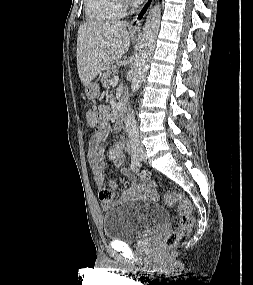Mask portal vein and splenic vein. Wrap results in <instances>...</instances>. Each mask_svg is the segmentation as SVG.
I'll use <instances>...</instances> for the list:
<instances>
[{
  "mask_svg": "<svg viewBox=\"0 0 253 285\" xmlns=\"http://www.w3.org/2000/svg\"><path fill=\"white\" fill-rule=\"evenodd\" d=\"M119 80V76L115 75L111 80H110V84L111 85H115L116 83H118Z\"/></svg>",
  "mask_w": 253,
  "mask_h": 285,
  "instance_id": "18ae733b",
  "label": "portal vein and splenic vein"
}]
</instances>
